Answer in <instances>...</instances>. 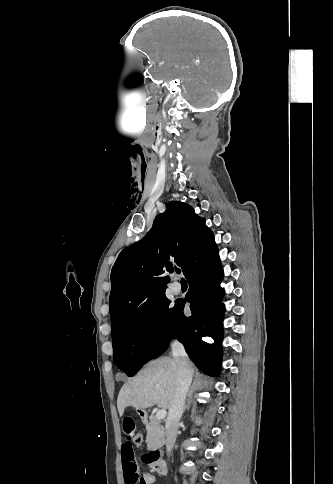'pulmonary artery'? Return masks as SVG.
Instances as JSON below:
<instances>
[{"label": "pulmonary artery", "mask_w": 333, "mask_h": 484, "mask_svg": "<svg viewBox=\"0 0 333 484\" xmlns=\"http://www.w3.org/2000/svg\"><path fill=\"white\" fill-rule=\"evenodd\" d=\"M171 290L174 294H180L182 292L181 284L178 281H174L171 284Z\"/></svg>", "instance_id": "obj_1"}]
</instances>
